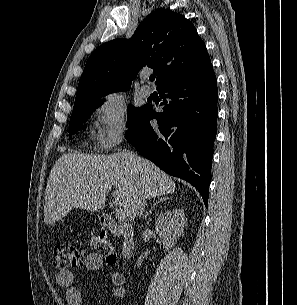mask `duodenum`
<instances>
[{
	"label": "duodenum",
	"mask_w": 297,
	"mask_h": 305,
	"mask_svg": "<svg viewBox=\"0 0 297 305\" xmlns=\"http://www.w3.org/2000/svg\"><path fill=\"white\" fill-rule=\"evenodd\" d=\"M101 224L112 234L121 238V255L125 260L131 259L135 252L133 228L131 226L118 223L109 214H104L101 216Z\"/></svg>",
	"instance_id": "duodenum-1"
}]
</instances>
